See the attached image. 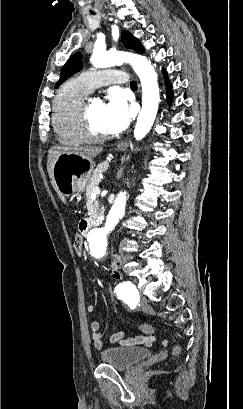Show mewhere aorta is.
<instances>
[{"mask_svg": "<svg viewBox=\"0 0 243 409\" xmlns=\"http://www.w3.org/2000/svg\"><path fill=\"white\" fill-rule=\"evenodd\" d=\"M96 68H106L129 63L138 75L142 86V108L134 129L136 140L143 139L150 131L158 111L160 101L157 74L151 62L144 56L117 51H94L90 59ZM126 193L120 192L112 205L104 225L92 228L87 235L89 245L106 247L107 236L124 216Z\"/></svg>", "mask_w": 243, "mask_h": 409, "instance_id": "762f6f07", "label": "aorta"}]
</instances>
